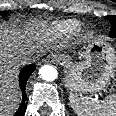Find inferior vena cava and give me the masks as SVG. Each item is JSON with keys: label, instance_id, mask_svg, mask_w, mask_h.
<instances>
[{"label": "inferior vena cava", "instance_id": "obj_1", "mask_svg": "<svg viewBox=\"0 0 116 116\" xmlns=\"http://www.w3.org/2000/svg\"><path fill=\"white\" fill-rule=\"evenodd\" d=\"M33 59H34V57L32 56L31 53L24 52L19 56L18 64L24 65L26 63H29V62L33 61Z\"/></svg>", "mask_w": 116, "mask_h": 116}]
</instances>
